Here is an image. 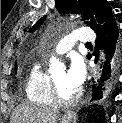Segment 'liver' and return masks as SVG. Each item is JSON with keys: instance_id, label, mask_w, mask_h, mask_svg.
Returning <instances> with one entry per match:
<instances>
[{"instance_id": "liver-1", "label": "liver", "mask_w": 122, "mask_h": 123, "mask_svg": "<svg viewBox=\"0 0 122 123\" xmlns=\"http://www.w3.org/2000/svg\"><path fill=\"white\" fill-rule=\"evenodd\" d=\"M59 111L56 108L39 107L29 104L19 105L12 117V123H57Z\"/></svg>"}]
</instances>
